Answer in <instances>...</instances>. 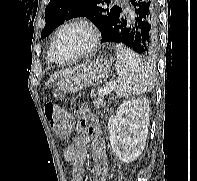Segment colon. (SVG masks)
I'll use <instances>...</instances> for the list:
<instances>
[{
	"instance_id": "1",
	"label": "colon",
	"mask_w": 197,
	"mask_h": 181,
	"mask_svg": "<svg viewBox=\"0 0 197 181\" xmlns=\"http://www.w3.org/2000/svg\"><path fill=\"white\" fill-rule=\"evenodd\" d=\"M44 114L50 126L57 134H64L67 131L68 126L71 123V117L67 112L61 110L55 103H46L44 106Z\"/></svg>"
}]
</instances>
